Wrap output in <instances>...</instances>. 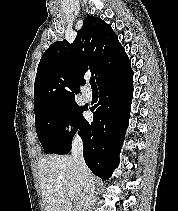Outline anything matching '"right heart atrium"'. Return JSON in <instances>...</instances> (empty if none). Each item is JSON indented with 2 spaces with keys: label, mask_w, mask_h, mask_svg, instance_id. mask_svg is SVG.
Masks as SVG:
<instances>
[{
  "label": "right heart atrium",
  "mask_w": 178,
  "mask_h": 211,
  "mask_svg": "<svg viewBox=\"0 0 178 211\" xmlns=\"http://www.w3.org/2000/svg\"><path fill=\"white\" fill-rule=\"evenodd\" d=\"M60 132L65 138H73L78 134L77 124L71 114L65 115L59 124Z\"/></svg>",
  "instance_id": "obj_1"
}]
</instances>
